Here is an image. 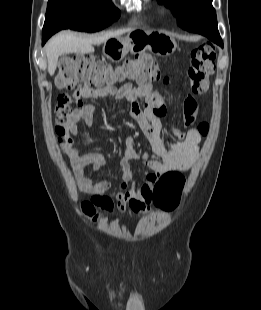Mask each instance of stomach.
I'll list each match as a JSON object with an SVG mask.
<instances>
[{
  "mask_svg": "<svg viewBox=\"0 0 261 310\" xmlns=\"http://www.w3.org/2000/svg\"><path fill=\"white\" fill-rule=\"evenodd\" d=\"M177 48L175 39L161 31L135 29L125 38H111L103 51L113 62L121 61L129 51L148 50L157 56H169Z\"/></svg>",
  "mask_w": 261,
  "mask_h": 310,
  "instance_id": "1",
  "label": "stomach"
}]
</instances>
